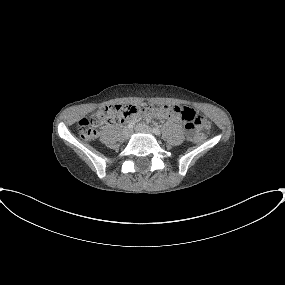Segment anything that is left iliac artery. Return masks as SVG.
<instances>
[{"label":"left iliac artery","instance_id":"44dca946","mask_svg":"<svg viewBox=\"0 0 285 285\" xmlns=\"http://www.w3.org/2000/svg\"><path fill=\"white\" fill-rule=\"evenodd\" d=\"M153 132L156 134V135H160L161 134V131L159 130V128L157 127H153Z\"/></svg>","mask_w":285,"mask_h":285}]
</instances>
